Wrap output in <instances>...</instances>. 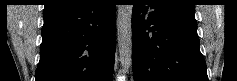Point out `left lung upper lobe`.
Wrapping results in <instances>:
<instances>
[{
	"mask_svg": "<svg viewBox=\"0 0 237 81\" xmlns=\"http://www.w3.org/2000/svg\"><path fill=\"white\" fill-rule=\"evenodd\" d=\"M161 1L173 6L195 11V5L193 0H161Z\"/></svg>",
	"mask_w": 237,
	"mask_h": 81,
	"instance_id": "5c2ea615",
	"label": "left lung upper lobe"
}]
</instances>
